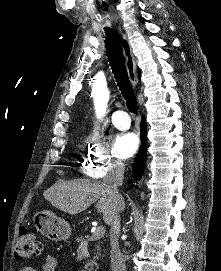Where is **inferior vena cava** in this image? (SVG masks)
<instances>
[{"label":"inferior vena cava","instance_id":"1","mask_svg":"<svg viewBox=\"0 0 221 271\" xmlns=\"http://www.w3.org/2000/svg\"><path fill=\"white\" fill-rule=\"evenodd\" d=\"M124 167L125 165L122 161H117L111 167L108 177H104L103 179L105 191L112 199H119L120 197L118 187L123 181ZM110 225V261L112 271H127L125 257L121 253L118 241L121 227L120 211H114Z\"/></svg>","mask_w":221,"mask_h":271}]
</instances>
